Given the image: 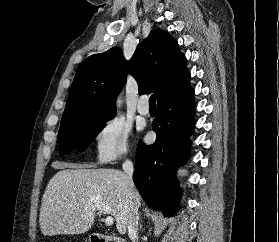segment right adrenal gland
Masks as SVG:
<instances>
[{
    "instance_id": "2a0ac1e0",
    "label": "right adrenal gland",
    "mask_w": 279,
    "mask_h": 242,
    "mask_svg": "<svg viewBox=\"0 0 279 242\" xmlns=\"http://www.w3.org/2000/svg\"><path fill=\"white\" fill-rule=\"evenodd\" d=\"M140 229H142V225L140 224Z\"/></svg>"
}]
</instances>
